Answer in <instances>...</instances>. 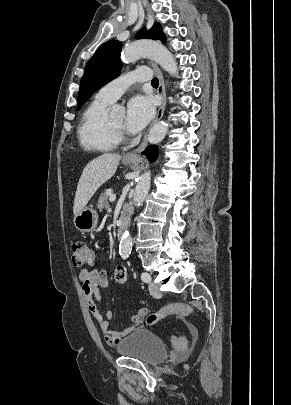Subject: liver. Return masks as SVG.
<instances>
[{"instance_id": "1", "label": "liver", "mask_w": 291, "mask_h": 405, "mask_svg": "<svg viewBox=\"0 0 291 405\" xmlns=\"http://www.w3.org/2000/svg\"><path fill=\"white\" fill-rule=\"evenodd\" d=\"M121 156L105 153L90 161L84 168L77 185L73 213L78 214L89 202L98 188L116 172Z\"/></svg>"}]
</instances>
